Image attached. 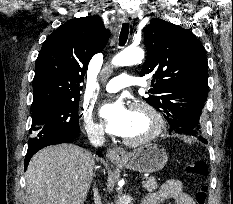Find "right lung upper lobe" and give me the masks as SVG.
<instances>
[{"instance_id":"cb5924a9","label":"right lung upper lobe","mask_w":233,"mask_h":204,"mask_svg":"<svg viewBox=\"0 0 233 204\" xmlns=\"http://www.w3.org/2000/svg\"><path fill=\"white\" fill-rule=\"evenodd\" d=\"M108 39L109 30L96 16L70 20L50 34L36 60L32 106L79 99L87 64Z\"/></svg>"}]
</instances>
